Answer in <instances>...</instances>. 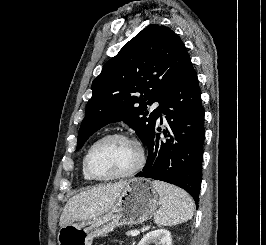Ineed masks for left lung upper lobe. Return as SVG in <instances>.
<instances>
[{"label":"left lung upper lobe","instance_id":"obj_1","mask_svg":"<svg viewBox=\"0 0 266 245\" xmlns=\"http://www.w3.org/2000/svg\"><path fill=\"white\" fill-rule=\"evenodd\" d=\"M184 43L168 27L149 25L126 43L92 83V97L78 133L76 150L103 126L123 121L148 144L160 104L189 59Z\"/></svg>","mask_w":266,"mask_h":245}]
</instances>
